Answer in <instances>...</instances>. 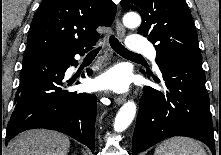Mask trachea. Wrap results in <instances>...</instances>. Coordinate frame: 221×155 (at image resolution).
I'll return each instance as SVG.
<instances>
[{"label":"trachea","mask_w":221,"mask_h":155,"mask_svg":"<svg viewBox=\"0 0 221 155\" xmlns=\"http://www.w3.org/2000/svg\"><path fill=\"white\" fill-rule=\"evenodd\" d=\"M110 45L111 47L121 56L123 57H131V58H141L142 56L136 53L129 51L125 48L114 36L110 37ZM100 47L94 49L92 52H99Z\"/></svg>","instance_id":"obj_1"}]
</instances>
